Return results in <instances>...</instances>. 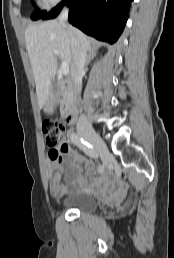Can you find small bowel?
I'll return each mask as SVG.
<instances>
[{
  "label": "small bowel",
  "mask_w": 174,
  "mask_h": 258,
  "mask_svg": "<svg viewBox=\"0 0 174 258\" xmlns=\"http://www.w3.org/2000/svg\"><path fill=\"white\" fill-rule=\"evenodd\" d=\"M50 150L47 171L50 180V193L54 197L62 196L69 187L100 195L104 198H118L124 184H117L110 174L100 178L94 176V164L88 158L77 153L64 139L60 146L59 157L55 158ZM81 167L85 174L81 172ZM65 171V180L62 173Z\"/></svg>",
  "instance_id": "c3829d8e"
}]
</instances>
